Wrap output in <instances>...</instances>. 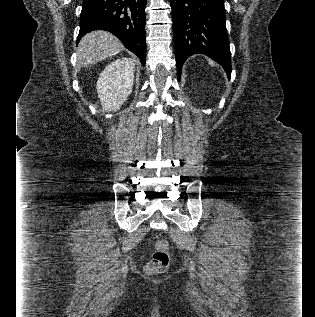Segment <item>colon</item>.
Returning a JSON list of instances; mask_svg holds the SVG:
<instances>
[{"mask_svg":"<svg viewBox=\"0 0 315 317\" xmlns=\"http://www.w3.org/2000/svg\"><path fill=\"white\" fill-rule=\"evenodd\" d=\"M170 264V246L166 239H159L154 248L151 260L145 265L147 274L165 272Z\"/></svg>","mask_w":315,"mask_h":317,"instance_id":"1","label":"colon"}]
</instances>
